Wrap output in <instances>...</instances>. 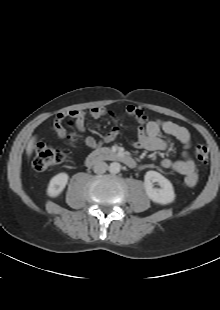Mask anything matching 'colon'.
<instances>
[{
    "label": "colon",
    "instance_id": "1",
    "mask_svg": "<svg viewBox=\"0 0 220 310\" xmlns=\"http://www.w3.org/2000/svg\"><path fill=\"white\" fill-rule=\"evenodd\" d=\"M198 162L206 165L209 161V150L203 144H198L195 148ZM66 159L65 151L48 146L44 143H37L34 148L33 167L37 171L50 169Z\"/></svg>",
    "mask_w": 220,
    "mask_h": 310
}]
</instances>
